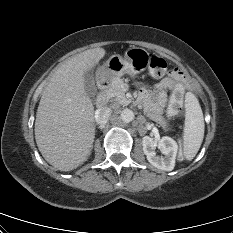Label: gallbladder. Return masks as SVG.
<instances>
[{
	"instance_id": "obj_1",
	"label": "gallbladder",
	"mask_w": 233,
	"mask_h": 233,
	"mask_svg": "<svg viewBox=\"0 0 233 233\" xmlns=\"http://www.w3.org/2000/svg\"><path fill=\"white\" fill-rule=\"evenodd\" d=\"M85 92L91 100H95L97 96V88L94 82L93 75L90 72L84 74Z\"/></svg>"
}]
</instances>
